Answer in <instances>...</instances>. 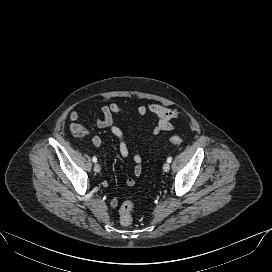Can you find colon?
Returning <instances> with one entry per match:
<instances>
[{
  "label": "colon",
  "instance_id": "1",
  "mask_svg": "<svg viewBox=\"0 0 272 272\" xmlns=\"http://www.w3.org/2000/svg\"><path fill=\"white\" fill-rule=\"evenodd\" d=\"M71 131L74 136L81 137L84 135L85 131L81 125L74 124L71 126ZM170 142L172 144L178 145L182 143V138L179 136H172L170 138ZM134 208V204L131 201H125L122 203L120 207V223L123 226H129L132 223V211Z\"/></svg>",
  "mask_w": 272,
  "mask_h": 272
}]
</instances>
